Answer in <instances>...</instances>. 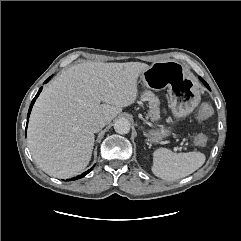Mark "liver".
Returning <instances> with one entry per match:
<instances>
[{
    "label": "liver",
    "mask_w": 241,
    "mask_h": 241,
    "mask_svg": "<svg viewBox=\"0 0 241 241\" xmlns=\"http://www.w3.org/2000/svg\"><path fill=\"white\" fill-rule=\"evenodd\" d=\"M145 63L86 62L64 71L45 87L29 119L28 147L47 174L65 179L86 168L94 146L92 123L111 122L135 102ZM103 102V104H101Z\"/></svg>",
    "instance_id": "obj_1"
}]
</instances>
